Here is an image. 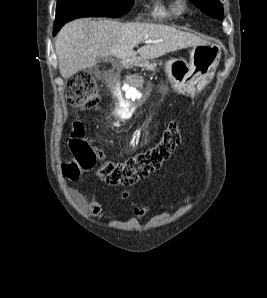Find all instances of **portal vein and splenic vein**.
Listing matches in <instances>:
<instances>
[{"instance_id": "18ae733b", "label": "portal vein and splenic vein", "mask_w": 267, "mask_h": 298, "mask_svg": "<svg viewBox=\"0 0 267 298\" xmlns=\"http://www.w3.org/2000/svg\"><path fill=\"white\" fill-rule=\"evenodd\" d=\"M153 41L151 40H146L145 43H152Z\"/></svg>"}]
</instances>
